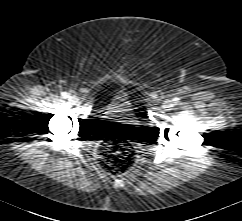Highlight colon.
<instances>
[{
	"label": "colon",
	"mask_w": 242,
	"mask_h": 221,
	"mask_svg": "<svg viewBox=\"0 0 242 221\" xmlns=\"http://www.w3.org/2000/svg\"><path fill=\"white\" fill-rule=\"evenodd\" d=\"M137 161V152L128 142L110 140L99 148V163L110 174L120 175L130 170Z\"/></svg>",
	"instance_id": "obj_1"
}]
</instances>
